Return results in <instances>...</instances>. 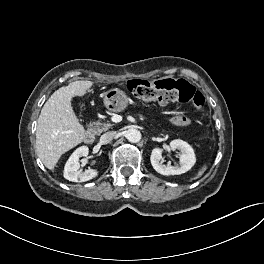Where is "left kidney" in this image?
<instances>
[{"instance_id":"left-kidney-1","label":"left kidney","mask_w":264,"mask_h":264,"mask_svg":"<svg viewBox=\"0 0 264 264\" xmlns=\"http://www.w3.org/2000/svg\"><path fill=\"white\" fill-rule=\"evenodd\" d=\"M170 147L171 149L180 150L179 165H164L162 162V149L154 148L150 156L153 168L162 175H180L190 170L196 162L193 148L187 142L180 139L171 141Z\"/></svg>"}]
</instances>
